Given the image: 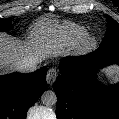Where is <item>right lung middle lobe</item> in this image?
Wrapping results in <instances>:
<instances>
[{"label": "right lung middle lobe", "mask_w": 119, "mask_h": 119, "mask_svg": "<svg viewBox=\"0 0 119 119\" xmlns=\"http://www.w3.org/2000/svg\"><path fill=\"white\" fill-rule=\"evenodd\" d=\"M12 28L11 19H1L0 18V31H7Z\"/></svg>", "instance_id": "right-lung-middle-lobe-1"}]
</instances>
